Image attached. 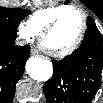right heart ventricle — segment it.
I'll return each mask as SVG.
<instances>
[{
	"mask_svg": "<svg viewBox=\"0 0 103 103\" xmlns=\"http://www.w3.org/2000/svg\"><path fill=\"white\" fill-rule=\"evenodd\" d=\"M71 7L67 4L42 8L35 11L28 18L27 25L33 30L36 35H39L44 27L59 13Z\"/></svg>",
	"mask_w": 103,
	"mask_h": 103,
	"instance_id": "1",
	"label": "right heart ventricle"
}]
</instances>
